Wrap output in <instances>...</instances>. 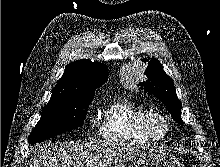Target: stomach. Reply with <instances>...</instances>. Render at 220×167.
<instances>
[{
  "label": "stomach",
  "mask_w": 220,
  "mask_h": 167,
  "mask_svg": "<svg viewBox=\"0 0 220 167\" xmlns=\"http://www.w3.org/2000/svg\"><path fill=\"white\" fill-rule=\"evenodd\" d=\"M114 167H180V163L157 147L130 145Z\"/></svg>",
  "instance_id": "1"
}]
</instances>
